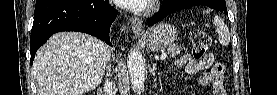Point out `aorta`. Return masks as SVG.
<instances>
[{
	"mask_svg": "<svg viewBox=\"0 0 277 95\" xmlns=\"http://www.w3.org/2000/svg\"><path fill=\"white\" fill-rule=\"evenodd\" d=\"M128 71L135 92L140 95L144 89L145 65L141 53L133 48L128 54Z\"/></svg>",
	"mask_w": 277,
	"mask_h": 95,
	"instance_id": "obj_1",
	"label": "aorta"
}]
</instances>
